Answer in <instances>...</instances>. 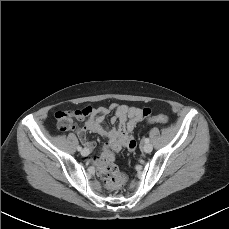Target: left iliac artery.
I'll return each mask as SVG.
<instances>
[{"mask_svg":"<svg viewBox=\"0 0 229 229\" xmlns=\"http://www.w3.org/2000/svg\"><path fill=\"white\" fill-rule=\"evenodd\" d=\"M144 142H145V143H148V142H149V139H148V138H145V139H144Z\"/></svg>","mask_w":229,"mask_h":229,"instance_id":"1","label":"left iliac artery"}]
</instances>
